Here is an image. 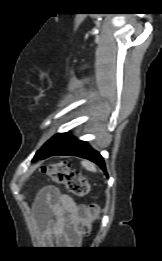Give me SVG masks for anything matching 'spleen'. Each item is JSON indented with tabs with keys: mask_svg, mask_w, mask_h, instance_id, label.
<instances>
[{
	"mask_svg": "<svg viewBox=\"0 0 162 261\" xmlns=\"http://www.w3.org/2000/svg\"><path fill=\"white\" fill-rule=\"evenodd\" d=\"M82 166L87 169L88 171H91V172H97V169H96V166L90 162V161H87V160H83L81 162Z\"/></svg>",
	"mask_w": 162,
	"mask_h": 261,
	"instance_id": "1",
	"label": "spleen"
}]
</instances>
